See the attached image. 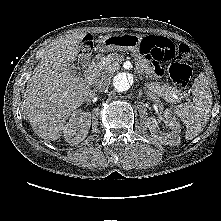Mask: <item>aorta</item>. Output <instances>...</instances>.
I'll return each mask as SVG.
<instances>
[{"label":"aorta","mask_w":221,"mask_h":221,"mask_svg":"<svg viewBox=\"0 0 221 221\" xmlns=\"http://www.w3.org/2000/svg\"><path fill=\"white\" fill-rule=\"evenodd\" d=\"M132 80L125 72L118 73L113 78V86L118 92H126L130 89Z\"/></svg>","instance_id":"aorta-1"}]
</instances>
